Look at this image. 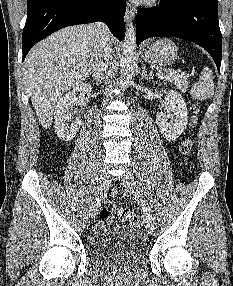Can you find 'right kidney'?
I'll return each instance as SVG.
<instances>
[{
  "instance_id": "obj_1",
  "label": "right kidney",
  "mask_w": 233,
  "mask_h": 286,
  "mask_svg": "<svg viewBox=\"0 0 233 286\" xmlns=\"http://www.w3.org/2000/svg\"><path fill=\"white\" fill-rule=\"evenodd\" d=\"M91 91L90 84L81 83L59 99L54 111V127L57 136L61 140H72L81 126V120L79 118L73 119L70 113L71 107L78 101L77 92L89 94Z\"/></svg>"
}]
</instances>
